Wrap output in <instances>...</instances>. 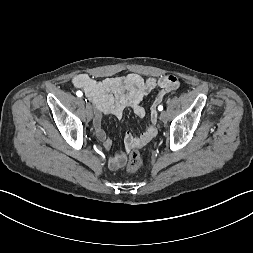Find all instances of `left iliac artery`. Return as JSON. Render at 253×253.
Here are the masks:
<instances>
[{"label": "left iliac artery", "mask_w": 253, "mask_h": 253, "mask_svg": "<svg viewBox=\"0 0 253 253\" xmlns=\"http://www.w3.org/2000/svg\"><path fill=\"white\" fill-rule=\"evenodd\" d=\"M158 110H159V111H162V110H163V106H162V105H159V106H158Z\"/></svg>", "instance_id": "obj_1"}]
</instances>
